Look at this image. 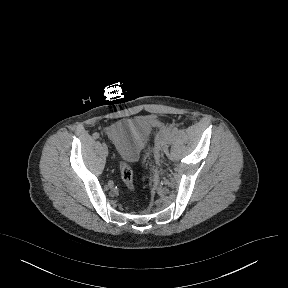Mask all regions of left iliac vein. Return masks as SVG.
Segmentation results:
<instances>
[{
	"label": "left iliac vein",
	"mask_w": 288,
	"mask_h": 288,
	"mask_svg": "<svg viewBox=\"0 0 288 288\" xmlns=\"http://www.w3.org/2000/svg\"><path fill=\"white\" fill-rule=\"evenodd\" d=\"M161 148H162V151L165 152V150L167 149V141H163V142H162Z\"/></svg>",
	"instance_id": "1"
}]
</instances>
